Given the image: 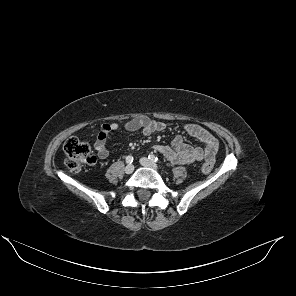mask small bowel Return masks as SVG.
Returning <instances> with one entry per match:
<instances>
[{
    "label": "small bowel",
    "instance_id": "1",
    "mask_svg": "<svg viewBox=\"0 0 296 296\" xmlns=\"http://www.w3.org/2000/svg\"><path fill=\"white\" fill-rule=\"evenodd\" d=\"M164 129L165 124L163 122L145 115L134 117L123 125L118 123L103 124L99 129L95 149L99 159L104 160L109 156L107 138L111 133L126 134L141 131L144 135H151ZM184 132L198 139L203 144V147H193L185 144L183 135L178 134L170 145H156L154 150L161 153L170 162L180 165L191 164L203 159L214 161L218 151V141L207 129L200 125L187 124L184 126Z\"/></svg>",
    "mask_w": 296,
    "mask_h": 296
}]
</instances>
